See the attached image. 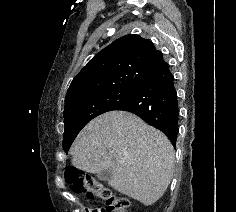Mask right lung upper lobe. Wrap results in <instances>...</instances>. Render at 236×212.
<instances>
[{"label": "right lung upper lobe", "mask_w": 236, "mask_h": 212, "mask_svg": "<svg viewBox=\"0 0 236 212\" xmlns=\"http://www.w3.org/2000/svg\"><path fill=\"white\" fill-rule=\"evenodd\" d=\"M162 61V53L150 40L134 34L118 38L95 55L74 77L65 105L93 94L135 87Z\"/></svg>", "instance_id": "right-lung-upper-lobe-1"}]
</instances>
